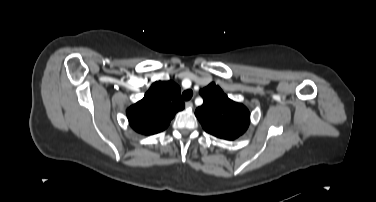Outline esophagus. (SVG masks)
Wrapping results in <instances>:
<instances>
[{
  "mask_svg": "<svg viewBox=\"0 0 376 202\" xmlns=\"http://www.w3.org/2000/svg\"><path fill=\"white\" fill-rule=\"evenodd\" d=\"M185 105H186V107H187L188 109H191V108L193 107V102H192V101H187V102L185 103Z\"/></svg>",
  "mask_w": 376,
  "mask_h": 202,
  "instance_id": "34e87169",
  "label": "esophagus"
}]
</instances>
